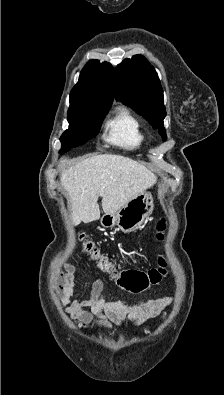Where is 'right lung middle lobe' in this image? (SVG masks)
Masks as SVG:
<instances>
[{
  "mask_svg": "<svg viewBox=\"0 0 224 395\" xmlns=\"http://www.w3.org/2000/svg\"><path fill=\"white\" fill-rule=\"evenodd\" d=\"M109 108L87 98L70 95L69 129L60 138L61 150L69 151L95 137Z\"/></svg>",
  "mask_w": 224,
  "mask_h": 395,
  "instance_id": "right-lung-middle-lobe-1",
  "label": "right lung middle lobe"
}]
</instances>
